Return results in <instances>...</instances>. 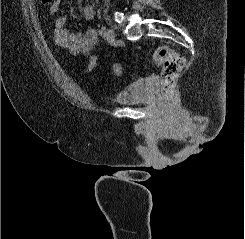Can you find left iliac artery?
I'll list each match as a JSON object with an SVG mask.
<instances>
[{"label":"left iliac artery","mask_w":245,"mask_h":239,"mask_svg":"<svg viewBox=\"0 0 245 239\" xmlns=\"http://www.w3.org/2000/svg\"><path fill=\"white\" fill-rule=\"evenodd\" d=\"M98 34H99L100 36H103V35L105 34V27H104V26H102V27H100V28L98 29Z\"/></svg>","instance_id":"44dca946"}]
</instances>
